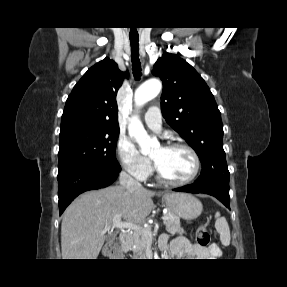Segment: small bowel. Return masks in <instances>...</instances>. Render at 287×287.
<instances>
[{"instance_id": "obj_1", "label": "small bowel", "mask_w": 287, "mask_h": 287, "mask_svg": "<svg viewBox=\"0 0 287 287\" xmlns=\"http://www.w3.org/2000/svg\"><path fill=\"white\" fill-rule=\"evenodd\" d=\"M159 246L163 251H168L167 256L173 258L208 259L220 253L216 244L203 247L198 244H191L183 237H177L169 242L166 235L160 237Z\"/></svg>"}]
</instances>
